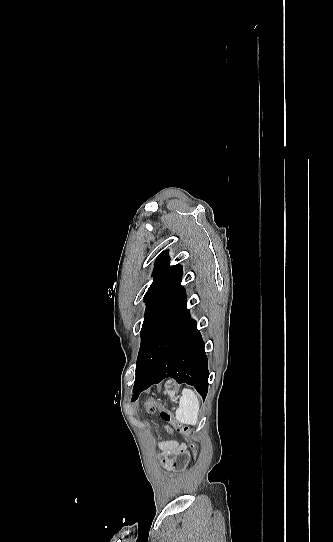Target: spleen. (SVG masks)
I'll return each mask as SVG.
<instances>
[{
	"label": "spleen",
	"mask_w": 333,
	"mask_h": 542,
	"mask_svg": "<svg viewBox=\"0 0 333 542\" xmlns=\"http://www.w3.org/2000/svg\"><path fill=\"white\" fill-rule=\"evenodd\" d=\"M182 396L179 402V408L175 412V418L180 424H188V426H196L198 422L200 402L193 390L183 388Z\"/></svg>",
	"instance_id": "3e777b00"
}]
</instances>
